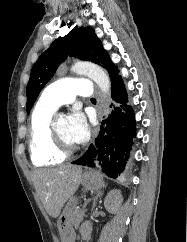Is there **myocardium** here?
<instances>
[{"instance_id": "f54148a6", "label": "myocardium", "mask_w": 187, "mask_h": 242, "mask_svg": "<svg viewBox=\"0 0 187 242\" xmlns=\"http://www.w3.org/2000/svg\"><path fill=\"white\" fill-rule=\"evenodd\" d=\"M58 116H53L49 125V136H50V142L53 147V149L60 155L67 157L72 154H74L78 148L76 146L68 148L65 147L61 140L59 139V136L57 134L56 130V121Z\"/></svg>"}]
</instances>
